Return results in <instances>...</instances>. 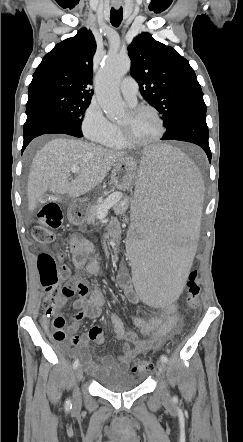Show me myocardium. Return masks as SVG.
<instances>
[{
	"label": "myocardium",
	"instance_id": "f54148a6",
	"mask_svg": "<svg viewBox=\"0 0 243 442\" xmlns=\"http://www.w3.org/2000/svg\"><path fill=\"white\" fill-rule=\"evenodd\" d=\"M130 111L132 114H139L144 111L152 112L158 121L159 131H158L157 135L155 137H153L152 139L145 140V141H134L129 137L126 127L122 124H119L118 127H119L120 138H121L122 142L125 144V146L136 147V148L146 147V146L153 145V144L157 143L159 140H161V138L165 134V124H164V120H163L160 112L155 107L150 106V105H136V106H133L130 109Z\"/></svg>",
	"mask_w": 243,
	"mask_h": 442
}]
</instances>
